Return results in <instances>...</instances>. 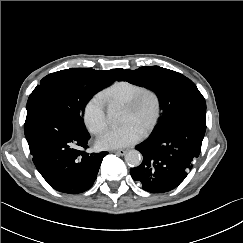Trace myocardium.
I'll list each match as a JSON object with an SVG mask.
<instances>
[{"label": "myocardium", "mask_w": 243, "mask_h": 243, "mask_svg": "<svg viewBox=\"0 0 243 243\" xmlns=\"http://www.w3.org/2000/svg\"><path fill=\"white\" fill-rule=\"evenodd\" d=\"M148 96L152 97L155 102V115L149 127L143 132L144 135L152 133L161 118L162 102L159 94L152 88L143 87L129 102L124 105L126 109L136 111L140 108L144 99Z\"/></svg>", "instance_id": "1"}]
</instances>
